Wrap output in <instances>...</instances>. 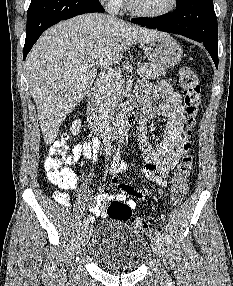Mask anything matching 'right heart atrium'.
<instances>
[{
  "label": "right heart atrium",
  "instance_id": "d8ad5b80",
  "mask_svg": "<svg viewBox=\"0 0 233 286\" xmlns=\"http://www.w3.org/2000/svg\"><path fill=\"white\" fill-rule=\"evenodd\" d=\"M110 11L120 8L124 0H102Z\"/></svg>",
  "mask_w": 233,
  "mask_h": 286
}]
</instances>
